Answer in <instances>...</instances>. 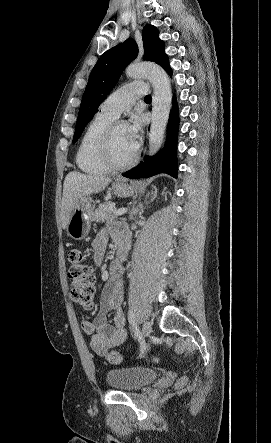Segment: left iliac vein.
<instances>
[{"mask_svg":"<svg viewBox=\"0 0 271 443\" xmlns=\"http://www.w3.org/2000/svg\"><path fill=\"white\" fill-rule=\"evenodd\" d=\"M151 332H152L151 323L149 321H145L142 327V334L144 338H147Z\"/></svg>","mask_w":271,"mask_h":443,"instance_id":"left-iliac-vein-1","label":"left iliac vein"}]
</instances>
